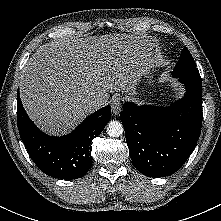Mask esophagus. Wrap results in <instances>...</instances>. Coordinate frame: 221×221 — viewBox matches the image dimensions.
<instances>
[{
    "label": "esophagus",
    "instance_id": "34e87169",
    "mask_svg": "<svg viewBox=\"0 0 221 221\" xmlns=\"http://www.w3.org/2000/svg\"><path fill=\"white\" fill-rule=\"evenodd\" d=\"M122 107V100L120 97H114L111 101V110L112 113L116 116L120 114Z\"/></svg>",
    "mask_w": 221,
    "mask_h": 221
}]
</instances>
